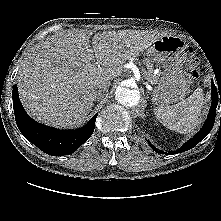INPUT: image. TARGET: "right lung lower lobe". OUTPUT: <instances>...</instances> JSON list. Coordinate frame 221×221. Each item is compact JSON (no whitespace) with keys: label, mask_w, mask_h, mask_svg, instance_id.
<instances>
[{"label":"right lung lower lobe","mask_w":221,"mask_h":221,"mask_svg":"<svg viewBox=\"0 0 221 221\" xmlns=\"http://www.w3.org/2000/svg\"><path fill=\"white\" fill-rule=\"evenodd\" d=\"M15 120L20 132L43 152L52 156H64L73 153L85 143L94 132L97 115L80 129L59 130L45 126L33 120L24 110L19 100L18 88L12 90Z\"/></svg>","instance_id":"right-lung-lower-lobe-1"}]
</instances>
